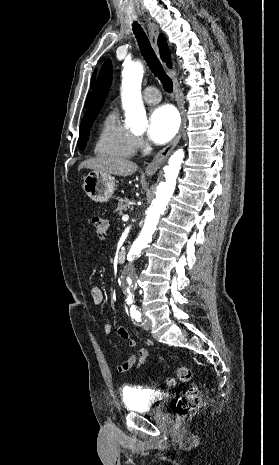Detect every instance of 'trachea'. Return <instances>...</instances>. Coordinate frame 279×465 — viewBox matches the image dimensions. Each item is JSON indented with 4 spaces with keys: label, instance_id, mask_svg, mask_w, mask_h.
<instances>
[{
    "label": "trachea",
    "instance_id": "3493384b",
    "mask_svg": "<svg viewBox=\"0 0 279 465\" xmlns=\"http://www.w3.org/2000/svg\"><path fill=\"white\" fill-rule=\"evenodd\" d=\"M133 32L137 39L141 53L145 61L147 62V65L152 70L154 75L159 78L165 91L168 93L172 92L173 82L170 79V77H168L167 74L165 73L161 63L159 62L157 56L155 55L154 50L151 47V44L145 32L143 31V29L137 22L133 23Z\"/></svg>",
    "mask_w": 279,
    "mask_h": 465
}]
</instances>
